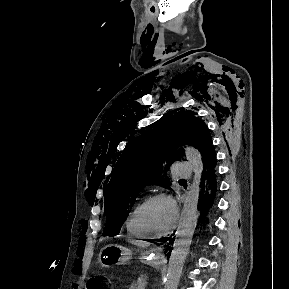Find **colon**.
I'll use <instances>...</instances> for the list:
<instances>
[{
    "mask_svg": "<svg viewBox=\"0 0 289 289\" xmlns=\"http://www.w3.org/2000/svg\"><path fill=\"white\" fill-rule=\"evenodd\" d=\"M86 289H108V286L102 276H94L87 282Z\"/></svg>",
    "mask_w": 289,
    "mask_h": 289,
    "instance_id": "1",
    "label": "colon"
}]
</instances>
